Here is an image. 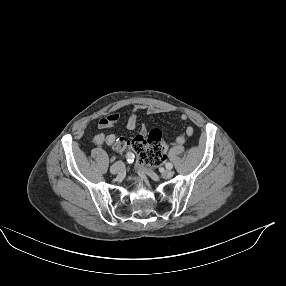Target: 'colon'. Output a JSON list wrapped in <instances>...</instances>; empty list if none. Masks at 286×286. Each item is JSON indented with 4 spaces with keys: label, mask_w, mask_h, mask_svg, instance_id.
Instances as JSON below:
<instances>
[{
    "label": "colon",
    "mask_w": 286,
    "mask_h": 286,
    "mask_svg": "<svg viewBox=\"0 0 286 286\" xmlns=\"http://www.w3.org/2000/svg\"><path fill=\"white\" fill-rule=\"evenodd\" d=\"M163 134L159 128H152L146 136L133 139L118 138L113 146L116 150L129 148L137 155L142 165L154 166L165 158Z\"/></svg>",
    "instance_id": "colon-1"
}]
</instances>
